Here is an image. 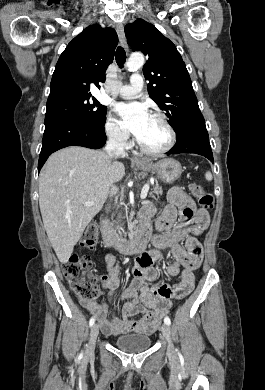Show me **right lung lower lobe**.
<instances>
[{"label": "right lung lower lobe", "instance_id": "right-lung-lower-lobe-1", "mask_svg": "<svg viewBox=\"0 0 265 390\" xmlns=\"http://www.w3.org/2000/svg\"><path fill=\"white\" fill-rule=\"evenodd\" d=\"M105 124V123H104ZM103 125H93L68 115L45 116V131L39 156L38 172L53 152L67 146L98 149L104 146L106 134Z\"/></svg>", "mask_w": 265, "mask_h": 390}]
</instances>
